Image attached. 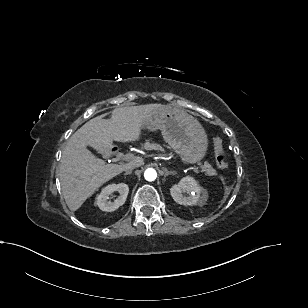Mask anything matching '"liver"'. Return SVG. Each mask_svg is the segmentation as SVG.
<instances>
[{
  "label": "liver",
  "mask_w": 308,
  "mask_h": 308,
  "mask_svg": "<svg viewBox=\"0 0 308 308\" xmlns=\"http://www.w3.org/2000/svg\"><path fill=\"white\" fill-rule=\"evenodd\" d=\"M165 105L146 104L120 107L110 119L97 116L80 127L63 150L59 177L66 204L76 211L100 186L123 172L127 166L108 164L97 158L87 146L104 153L113 141L133 142L140 138L145 117ZM130 163L143 164L141 158Z\"/></svg>",
  "instance_id": "liver-1"
}]
</instances>
